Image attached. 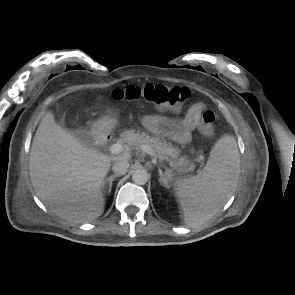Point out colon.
Returning a JSON list of instances; mask_svg holds the SVG:
<instances>
[{"label":"colon","mask_w":295,"mask_h":295,"mask_svg":"<svg viewBox=\"0 0 295 295\" xmlns=\"http://www.w3.org/2000/svg\"><path fill=\"white\" fill-rule=\"evenodd\" d=\"M190 97L187 88L175 86L168 87L157 84L144 86H129L116 89L113 92L115 100L137 101L145 100L158 107L179 110ZM199 131L205 136H212L215 132V115L212 111L206 110L202 114Z\"/></svg>","instance_id":"1"}]
</instances>
